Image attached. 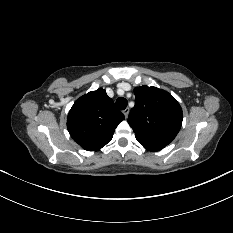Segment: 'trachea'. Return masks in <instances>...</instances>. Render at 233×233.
I'll use <instances>...</instances> for the list:
<instances>
[{
    "label": "trachea",
    "mask_w": 233,
    "mask_h": 233,
    "mask_svg": "<svg viewBox=\"0 0 233 233\" xmlns=\"http://www.w3.org/2000/svg\"><path fill=\"white\" fill-rule=\"evenodd\" d=\"M127 104L128 101L123 97H120L116 100V106L120 110H124L127 107Z\"/></svg>",
    "instance_id": "1"
}]
</instances>
